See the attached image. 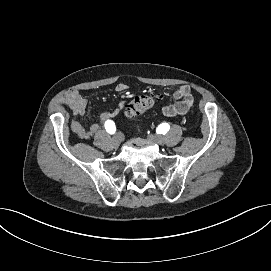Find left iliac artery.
I'll list each match as a JSON object with an SVG mask.
<instances>
[{
    "label": "left iliac artery",
    "instance_id": "obj_1",
    "mask_svg": "<svg viewBox=\"0 0 271 271\" xmlns=\"http://www.w3.org/2000/svg\"><path fill=\"white\" fill-rule=\"evenodd\" d=\"M169 128H170V126H169V124L166 123V122H161V123H159V125H158V130H159V132H161V133H166V132H168Z\"/></svg>",
    "mask_w": 271,
    "mask_h": 271
}]
</instances>
